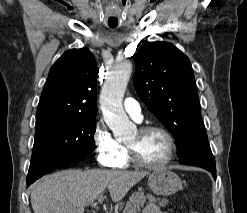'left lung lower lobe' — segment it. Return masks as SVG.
Masks as SVG:
<instances>
[{"label":"left lung lower lobe","instance_id":"1","mask_svg":"<svg viewBox=\"0 0 247 213\" xmlns=\"http://www.w3.org/2000/svg\"><path fill=\"white\" fill-rule=\"evenodd\" d=\"M181 164L202 167L210 171L216 179L215 159L210 149L208 139L196 141L187 154L181 158Z\"/></svg>","mask_w":247,"mask_h":213}]
</instances>
